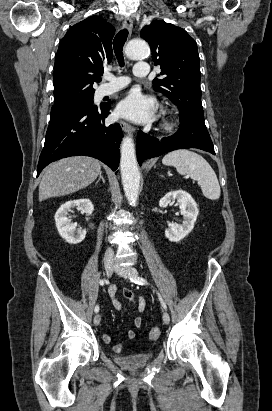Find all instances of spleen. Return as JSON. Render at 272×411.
Segmentation results:
<instances>
[{
  "instance_id": "1",
  "label": "spleen",
  "mask_w": 272,
  "mask_h": 411,
  "mask_svg": "<svg viewBox=\"0 0 272 411\" xmlns=\"http://www.w3.org/2000/svg\"><path fill=\"white\" fill-rule=\"evenodd\" d=\"M162 163L174 166L181 175H189L201 186L203 195L210 200H217L221 190L217 176L209 163L199 154L190 150H175L166 154Z\"/></svg>"
}]
</instances>
